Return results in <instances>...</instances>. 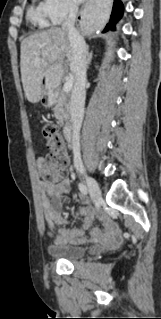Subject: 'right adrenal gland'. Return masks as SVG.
<instances>
[{"instance_id":"1","label":"right adrenal gland","mask_w":161,"mask_h":319,"mask_svg":"<svg viewBox=\"0 0 161 319\" xmlns=\"http://www.w3.org/2000/svg\"><path fill=\"white\" fill-rule=\"evenodd\" d=\"M92 55H93L92 52L88 51V46H87V68H89V65L91 63Z\"/></svg>"}]
</instances>
